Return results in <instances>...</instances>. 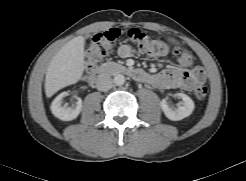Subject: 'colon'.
I'll use <instances>...</instances> for the list:
<instances>
[{
	"mask_svg": "<svg viewBox=\"0 0 246 181\" xmlns=\"http://www.w3.org/2000/svg\"><path fill=\"white\" fill-rule=\"evenodd\" d=\"M119 36V31L115 28L96 34L90 41L87 49L86 69L87 71L94 70L98 64L108 55L116 39ZM128 37L134 43L139 53L150 57H161L169 52L179 54L181 48L176 44H169L161 36H152L138 28L128 30ZM207 88L199 86L195 89V97L199 100L207 96Z\"/></svg>",
	"mask_w": 246,
	"mask_h": 181,
	"instance_id": "obj_1",
	"label": "colon"
}]
</instances>
